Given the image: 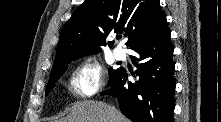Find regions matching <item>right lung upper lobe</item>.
I'll list each match as a JSON object with an SVG mask.
<instances>
[{"mask_svg": "<svg viewBox=\"0 0 221 122\" xmlns=\"http://www.w3.org/2000/svg\"><path fill=\"white\" fill-rule=\"evenodd\" d=\"M165 21L159 0H87L62 29L50 75L73 59L97 52L96 44L106 46L105 36L125 32L131 49Z\"/></svg>", "mask_w": 221, "mask_h": 122, "instance_id": "obj_1", "label": "right lung upper lobe"}]
</instances>
